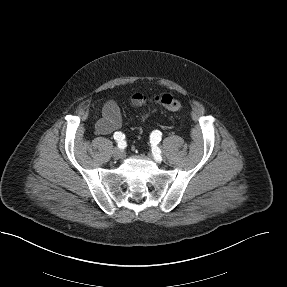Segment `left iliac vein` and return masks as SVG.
<instances>
[{"mask_svg":"<svg viewBox=\"0 0 287 287\" xmlns=\"http://www.w3.org/2000/svg\"><path fill=\"white\" fill-rule=\"evenodd\" d=\"M154 159L157 163H160L163 160L161 151H157L154 155Z\"/></svg>","mask_w":287,"mask_h":287,"instance_id":"4c4485c4","label":"left iliac vein"}]
</instances>
